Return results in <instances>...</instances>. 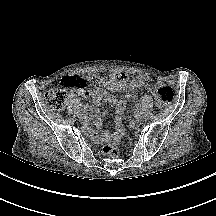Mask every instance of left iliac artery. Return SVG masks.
Returning a JSON list of instances; mask_svg holds the SVG:
<instances>
[{
  "label": "left iliac artery",
  "instance_id": "44dca946",
  "mask_svg": "<svg viewBox=\"0 0 216 216\" xmlns=\"http://www.w3.org/2000/svg\"><path fill=\"white\" fill-rule=\"evenodd\" d=\"M141 108H139V106L137 107V112L135 113L136 118H138L140 116V110Z\"/></svg>",
  "mask_w": 216,
  "mask_h": 216
}]
</instances>
